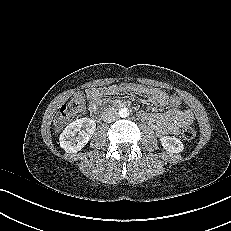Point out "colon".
I'll return each mask as SVG.
<instances>
[{
    "label": "colon",
    "mask_w": 231,
    "mask_h": 231,
    "mask_svg": "<svg viewBox=\"0 0 231 231\" xmlns=\"http://www.w3.org/2000/svg\"><path fill=\"white\" fill-rule=\"evenodd\" d=\"M169 103L173 107H181L182 101L177 95L169 97ZM85 101L82 95H75L66 105L62 106L54 120L57 131L61 130L72 116L83 112ZM182 137L186 141H192L196 136V130L192 126H185L181 131Z\"/></svg>",
    "instance_id": "colon-1"
}]
</instances>
